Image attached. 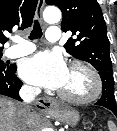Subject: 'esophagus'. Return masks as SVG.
Listing matches in <instances>:
<instances>
[{"label": "esophagus", "instance_id": "obj_1", "mask_svg": "<svg viewBox=\"0 0 117 131\" xmlns=\"http://www.w3.org/2000/svg\"><path fill=\"white\" fill-rule=\"evenodd\" d=\"M45 5V0H38L37 8H36V17L42 22V11ZM37 109L41 113L51 112L54 109L55 103L51 98H38L35 102Z\"/></svg>", "mask_w": 117, "mask_h": 131}]
</instances>
